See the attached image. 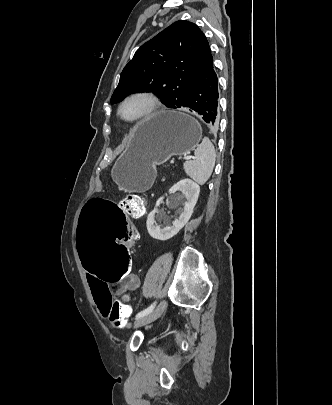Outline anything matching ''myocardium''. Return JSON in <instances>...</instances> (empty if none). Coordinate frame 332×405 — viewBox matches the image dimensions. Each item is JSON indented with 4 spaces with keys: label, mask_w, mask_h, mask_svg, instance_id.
Instances as JSON below:
<instances>
[{
    "label": "myocardium",
    "mask_w": 332,
    "mask_h": 405,
    "mask_svg": "<svg viewBox=\"0 0 332 405\" xmlns=\"http://www.w3.org/2000/svg\"><path fill=\"white\" fill-rule=\"evenodd\" d=\"M133 99H143V100H145L147 102V108L142 114H140L137 117L125 118L123 116V114H122V109H123L124 105L127 102H129V101H131ZM159 107H160L159 98L153 92L147 91V90L135 91V92H132V93L128 94L119 103L118 116L124 122L130 123V124H137V123L143 122V121L148 120L149 118H151L157 112Z\"/></svg>",
    "instance_id": "1"
}]
</instances>
